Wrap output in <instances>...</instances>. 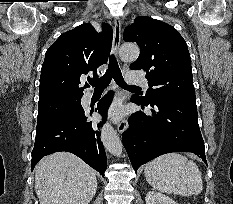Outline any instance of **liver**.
Instances as JSON below:
<instances>
[{
    "instance_id": "1",
    "label": "liver",
    "mask_w": 233,
    "mask_h": 204,
    "mask_svg": "<svg viewBox=\"0 0 233 204\" xmlns=\"http://www.w3.org/2000/svg\"><path fill=\"white\" fill-rule=\"evenodd\" d=\"M96 190L94 170L71 153H53L35 167L40 204H89Z\"/></svg>"
}]
</instances>
